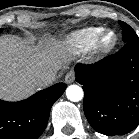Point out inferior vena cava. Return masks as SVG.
<instances>
[{"mask_svg":"<svg viewBox=\"0 0 139 139\" xmlns=\"http://www.w3.org/2000/svg\"><path fill=\"white\" fill-rule=\"evenodd\" d=\"M57 74L55 72H45L42 73L36 79V85L40 87H47L51 85L56 80Z\"/></svg>","mask_w":139,"mask_h":139,"instance_id":"inferior-vena-cava-1","label":"inferior vena cava"}]
</instances>
